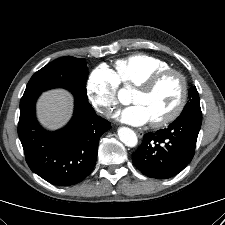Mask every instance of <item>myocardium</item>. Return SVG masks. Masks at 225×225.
<instances>
[{
  "label": "myocardium",
  "mask_w": 225,
  "mask_h": 225,
  "mask_svg": "<svg viewBox=\"0 0 225 225\" xmlns=\"http://www.w3.org/2000/svg\"><path fill=\"white\" fill-rule=\"evenodd\" d=\"M170 75H173L178 79L180 83V95L176 105L170 112H168L162 118H159L157 120H153L150 122L151 125L156 128L163 127L173 122L176 118H178V116L183 111L184 106L186 104L187 92H188L186 78L180 71L169 68V69H165L160 72H157L155 74H152L151 76L147 77L142 82L136 85V89L142 90L144 92H149V91H152L163 79H165L166 77Z\"/></svg>",
  "instance_id": "obj_1"
}]
</instances>
